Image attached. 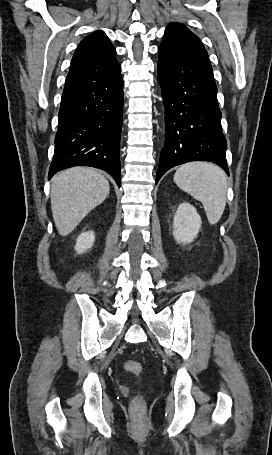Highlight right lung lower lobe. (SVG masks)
I'll use <instances>...</instances> for the list:
<instances>
[{"label": "right lung lower lobe", "mask_w": 272, "mask_h": 455, "mask_svg": "<svg viewBox=\"0 0 272 455\" xmlns=\"http://www.w3.org/2000/svg\"><path fill=\"white\" fill-rule=\"evenodd\" d=\"M122 119L120 72L64 90L49 179L68 167L91 166L107 171L120 187Z\"/></svg>", "instance_id": "right-lung-lower-lobe-1"}]
</instances>
